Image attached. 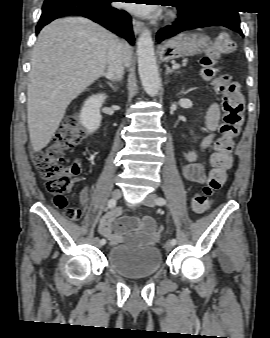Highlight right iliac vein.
<instances>
[{
  "instance_id": "right-iliac-vein-1",
  "label": "right iliac vein",
  "mask_w": 270,
  "mask_h": 338,
  "mask_svg": "<svg viewBox=\"0 0 270 338\" xmlns=\"http://www.w3.org/2000/svg\"><path fill=\"white\" fill-rule=\"evenodd\" d=\"M112 198L113 199H119L121 197V191L119 189H115L113 192H112ZM93 243L95 246H101L100 244V241H99V238L98 237H95L94 240H93Z\"/></svg>"
}]
</instances>
